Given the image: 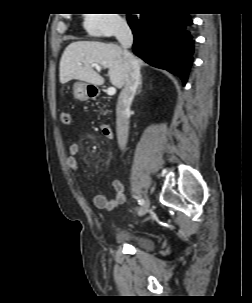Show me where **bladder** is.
I'll return each instance as SVG.
<instances>
[{
  "instance_id": "1",
  "label": "bladder",
  "mask_w": 252,
  "mask_h": 303,
  "mask_svg": "<svg viewBox=\"0 0 252 303\" xmlns=\"http://www.w3.org/2000/svg\"><path fill=\"white\" fill-rule=\"evenodd\" d=\"M115 237L124 243L131 244L148 252L153 251L155 248V243L151 238L131 230L117 228L115 231Z\"/></svg>"
}]
</instances>
